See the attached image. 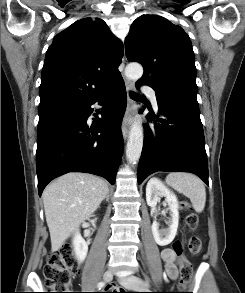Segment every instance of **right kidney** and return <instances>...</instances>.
<instances>
[{
	"instance_id": "ca27d5eb",
	"label": "right kidney",
	"mask_w": 245,
	"mask_h": 293,
	"mask_svg": "<svg viewBox=\"0 0 245 293\" xmlns=\"http://www.w3.org/2000/svg\"><path fill=\"white\" fill-rule=\"evenodd\" d=\"M72 245L78 261L83 262L88 253V244L83 239L79 231H76V233L74 234L72 239Z\"/></svg>"
}]
</instances>
